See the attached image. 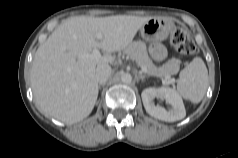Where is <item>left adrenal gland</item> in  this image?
<instances>
[{
	"instance_id": "obj_1",
	"label": "left adrenal gland",
	"mask_w": 238,
	"mask_h": 158,
	"mask_svg": "<svg viewBox=\"0 0 238 158\" xmlns=\"http://www.w3.org/2000/svg\"><path fill=\"white\" fill-rule=\"evenodd\" d=\"M138 77H139V79H141L143 81L148 76H146V75L142 74L141 72H139Z\"/></svg>"
}]
</instances>
